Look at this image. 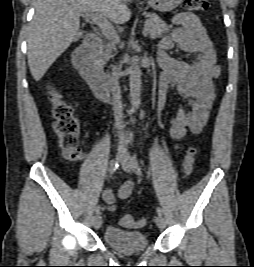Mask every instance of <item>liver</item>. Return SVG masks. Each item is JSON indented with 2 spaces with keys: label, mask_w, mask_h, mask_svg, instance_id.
Wrapping results in <instances>:
<instances>
[{
  "label": "liver",
  "mask_w": 254,
  "mask_h": 267,
  "mask_svg": "<svg viewBox=\"0 0 254 267\" xmlns=\"http://www.w3.org/2000/svg\"><path fill=\"white\" fill-rule=\"evenodd\" d=\"M128 2L131 0H35L27 39L34 80L39 81L56 59L83 37L81 13L98 12L114 23H125L131 17Z\"/></svg>",
  "instance_id": "1"
}]
</instances>
